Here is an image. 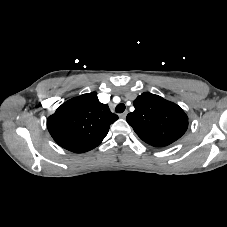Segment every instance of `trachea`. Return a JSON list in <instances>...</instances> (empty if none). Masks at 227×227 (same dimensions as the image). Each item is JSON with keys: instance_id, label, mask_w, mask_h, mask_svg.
I'll return each mask as SVG.
<instances>
[{"instance_id": "trachea-1", "label": "trachea", "mask_w": 227, "mask_h": 227, "mask_svg": "<svg viewBox=\"0 0 227 227\" xmlns=\"http://www.w3.org/2000/svg\"><path fill=\"white\" fill-rule=\"evenodd\" d=\"M115 110L117 113H122L125 110V105L123 103H120L116 106Z\"/></svg>"}]
</instances>
